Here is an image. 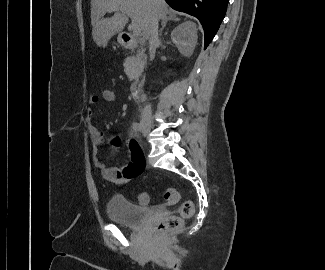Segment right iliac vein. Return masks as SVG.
Listing matches in <instances>:
<instances>
[{
    "instance_id": "right-iliac-vein-1",
    "label": "right iliac vein",
    "mask_w": 325,
    "mask_h": 270,
    "mask_svg": "<svg viewBox=\"0 0 325 270\" xmlns=\"http://www.w3.org/2000/svg\"><path fill=\"white\" fill-rule=\"evenodd\" d=\"M142 132L148 135L151 131V124L149 122H144L141 127Z\"/></svg>"
}]
</instances>
